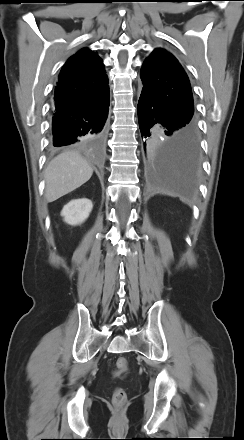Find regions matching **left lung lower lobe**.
Listing matches in <instances>:
<instances>
[{"label": "left lung lower lobe", "mask_w": 244, "mask_h": 440, "mask_svg": "<svg viewBox=\"0 0 244 440\" xmlns=\"http://www.w3.org/2000/svg\"><path fill=\"white\" fill-rule=\"evenodd\" d=\"M137 112L149 171L174 177L179 190L190 194L200 168L196 123L147 88L141 91Z\"/></svg>", "instance_id": "obj_1"}]
</instances>
